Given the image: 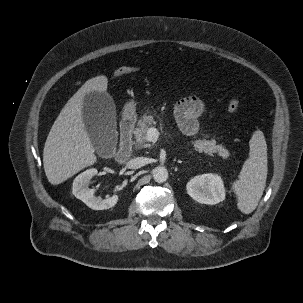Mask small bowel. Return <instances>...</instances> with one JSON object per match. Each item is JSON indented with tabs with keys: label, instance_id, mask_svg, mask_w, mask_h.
<instances>
[{
	"label": "small bowel",
	"instance_id": "small-bowel-1",
	"mask_svg": "<svg viewBox=\"0 0 303 303\" xmlns=\"http://www.w3.org/2000/svg\"><path fill=\"white\" fill-rule=\"evenodd\" d=\"M174 113L182 132L193 136L199 130V119L205 113V106L199 98L190 96L177 103Z\"/></svg>",
	"mask_w": 303,
	"mask_h": 303
}]
</instances>
